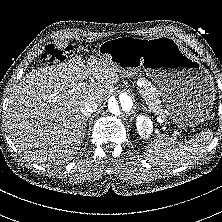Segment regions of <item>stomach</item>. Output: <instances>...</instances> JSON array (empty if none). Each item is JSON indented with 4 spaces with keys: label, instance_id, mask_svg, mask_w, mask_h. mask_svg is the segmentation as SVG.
Masks as SVG:
<instances>
[{
    "label": "stomach",
    "instance_id": "0dacf381",
    "mask_svg": "<svg viewBox=\"0 0 222 222\" xmlns=\"http://www.w3.org/2000/svg\"><path fill=\"white\" fill-rule=\"evenodd\" d=\"M99 60L127 74L143 68L158 84L166 108L182 127L202 123L214 104L213 78L174 38H114L99 46Z\"/></svg>",
    "mask_w": 222,
    "mask_h": 222
}]
</instances>
